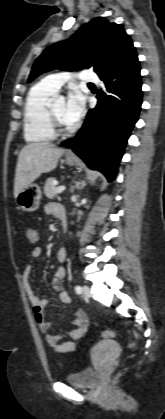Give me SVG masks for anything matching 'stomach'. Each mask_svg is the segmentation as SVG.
Masks as SVG:
<instances>
[{
    "instance_id": "1",
    "label": "stomach",
    "mask_w": 165,
    "mask_h": 419,
    "mask_svg": "<svg viewBox=\"0 0 165 419\" xmlns=\"http://www.w3.org/2000/svg\"><path fill=\"white\" fill-rule=\"evenodd\" d=\"M65 162L69 166H73L76 162L74 158L66 157ZM42 198V192L37 184H30L23 188L15 200L17 205L24 211L33 212L38 209Z\"/></svg>"
}]
</instances>
